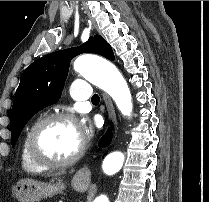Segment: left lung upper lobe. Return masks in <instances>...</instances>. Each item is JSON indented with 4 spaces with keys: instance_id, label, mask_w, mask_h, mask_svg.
<instances>
[{
    "instance_id": "left-lung-upper-lobe-1",
    "label": "left lung upper lobe",
    "mask_w": 209,
    "mask_h": 202,
    "mask_svg": "<svg viewBox=\"0 0 209 202\" xmlns=\"http://www.w3.org/2000/svg\"><path fill=\"white\" fill-rule=\"evenodd\" d=\"M87 52L114 60L111 46L100 35H95L79 47L45 55L25 69L15 93L11 112L12 147L34 114L59 100L71 59Z\"/></svg>"
}]
</instances>
